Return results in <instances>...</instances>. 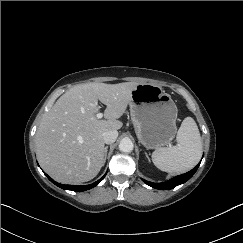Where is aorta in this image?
Masks as SVG:
<instances>
[{
	"mask_svg": "<svg viewBox=\"0 0 243 243\" xmlns=\"http://www.w3.org/2000/svg\"><path fill=\"white\" fill-rule=\"evenodd\" d=\"M133 143L129 138H124L119 143V150L121 152L129 153L133 150Z\"/></svg>",
	"mask_w": 243,
	"mask_h": 243,
	"instance_id": "aorta-1",
	"label": "aorta"
}]
</instances>
